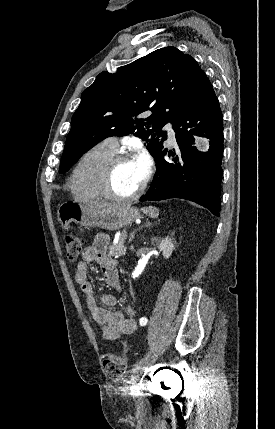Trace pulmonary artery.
<instances>
[{
  "label": "pulmonary artery",
  "mask_w": 275,
  "mask_h": 429,
  "mask_svg": "<svg viewBox=\"0 0 275 429\" xmlns=\"http://www.w3.org/2000/svg\"><path fill=\"white\" fill-rule=\"evenodd\" d=\"M167 134H168V141L170 144H173L175 142V132L171 125L166 126ZM103 143L113 151H117L119 147V143L116 137H109L103 141Z\"/></svg>",
  "instance_id": "pulmonary-artery-1"
}]
</instances>
